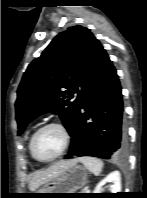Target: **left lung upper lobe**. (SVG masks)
<instances>
[{"instance_id": "5c2ea615", "label": "left lung upper lobe", "mask_w": 147, "mask_h": 198, "mask_svg": "<svg viewBox=\"0 0 147 198\" xmlns=\"http://www.w3.org/2000/svg\"><path fill=\"white\" fill-rule=\"evenodd\" d=\"M95 40L88 28L69 27L28 66L15 104L18 135L30 121L47 112L58 114L71 134L83 101Z\"/></svg>"}]
</instances>
